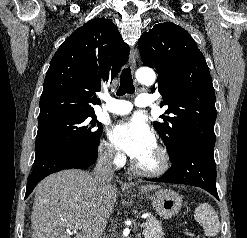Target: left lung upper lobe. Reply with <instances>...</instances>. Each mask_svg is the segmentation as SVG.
I'll use <instances>...</instances> for the list:
<instances>
[{"label": "left lung upper lobe", "mask_w": 247, "mask_h": 238, "mask_svg": "<svg viewBox=\"0 0 247 238\" xmlns=\"http://www.w3.org/2000/svg\"><path fill=\"white\" fill-rule=\"evenodd\" d=\"M144 65L158 72L151 89L167 106L153 126L163 139L170 159L183 144L214 151L215 91L203 54L182 27L165 22L142 34L138 41Z\"/></svg>", "instance_id": "1"}]
</instances>
